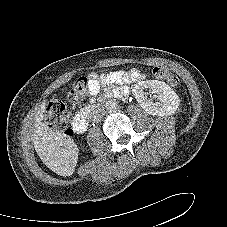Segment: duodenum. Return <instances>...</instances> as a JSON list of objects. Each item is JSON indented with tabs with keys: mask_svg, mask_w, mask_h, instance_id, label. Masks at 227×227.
I'll list each match as a JSON object with an SVG mask.
<instances>
[{
	"mask_svg": "<svg viewBox=\"0 0 227 227\" xmlns=\"http://www.w3.org/2000/svg\"><path fill=\"white\" fill-rule=\"evenodd\" d=\"M88 110L78 113L73 119V127L77 132H84L88 127Z\"/></svg>",
	"mask_w": 227,
	"mask_h": 227,
	"instance_id": "duodenum-1",
	"label": "duodenum"
}]
</instances>
